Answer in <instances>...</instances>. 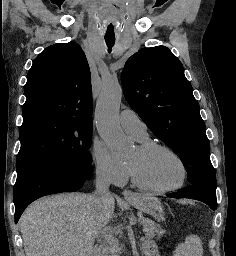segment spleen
I'll list each match as a JSON object with an SVG mask.
<instances>
[{"label":"spleen","instance_id":"obj_1","mask_svg":"<svg viewBox=\"0 0 236 256\" xmlns=\"http://www.w3.org/2000/svg\"><path fill=\"white\" fill-rule=\"evenodd\" d=\"M176 256H203V246L199 236H187L184 244L176 250Z\"/></svg>","mask_w":236,"mask_h":256}]
</instances>
